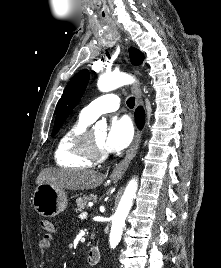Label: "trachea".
<instances>
[{
    "label": "trachea",
    "instance_id": "1",
    "mask_svg": "<svg viewBox=\"0 0 221 268\" xmlns=\"http://www.w3.org/2000/svg\"><path fill=\"white\" fill-rule=\"evenodd\" d=\"M134 105H135V98H134V97H130V98L127 100V106H128L130 109H133V108H134Z\"/></svg>",
    "mask_w": 221,
    "mask_h": 268
}]
</instances>
